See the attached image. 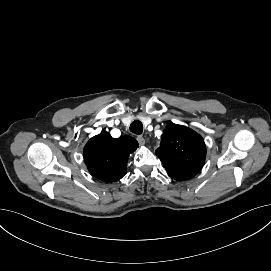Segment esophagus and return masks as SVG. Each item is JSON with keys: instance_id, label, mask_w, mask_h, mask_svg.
Here are the masks:
<instances>
[{"instance_id": "1", "label": "esophagus", "mask_w": 271, "mask_h": 271, "mask_svg": "<svg viewBox=\"0 0 271 271\" xmlns=\"http://www.w3.org/2000/svg\"><path fill=\"white\" fill-rule=\"evenodd\" d=\"M137 141L140 145H144L147 142V137L145 135L137 136Z\"/></svg>"}]
</instances>
